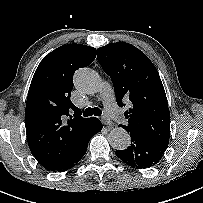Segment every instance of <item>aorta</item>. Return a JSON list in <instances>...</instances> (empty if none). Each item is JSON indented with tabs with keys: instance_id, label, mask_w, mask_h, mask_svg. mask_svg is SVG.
Here are the masks:
<instances>
[{
	"instance_id": "obj_1",
	"label": "aorta",
	"mask_w": 203,
	"mask_h": 203,
	"mask_svg": "<svg viewBox=\"0 0 203 203\" xmlns=\"http://www.w3.org/2000/svg\"><path fill=\"white\" fill-rule=\"evenodd\" d=\"M74 83L79 92L88 95L95 94L102 87L100 76L89 68L79 69L75 74ZM108 141L113 149L125 150L129 147L131 138L125 129L116 127L110 131Z\"/></svg>"
}]
</instances>
